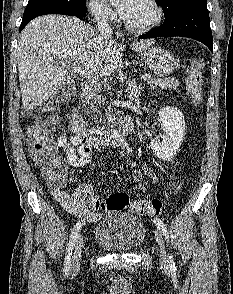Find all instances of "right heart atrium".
Listing matches in <instances>:
<instances>
[{
	"instance_id": "d8ad5b80",
	"label": "right heart atrium",
	"mask_w": 233,
	"mask_h": 294,
	"mask_svg": "<svg viewBox=\"0 0 233 294\" xmlns=\"http://www.w3.org/2000/svg\"><path fill=\"white\" fill-rule=\"evenodd\" d=\"M88 9L92 17L99 23H111L116 20L115 12L104 0H89Z\"/></svg>"
}]
</instances>
